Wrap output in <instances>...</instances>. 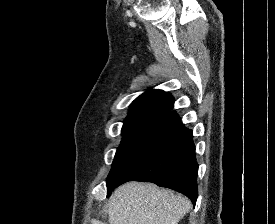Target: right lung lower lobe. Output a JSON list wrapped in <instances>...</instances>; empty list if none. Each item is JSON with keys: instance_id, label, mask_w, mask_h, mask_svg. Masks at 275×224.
I'll list each match as a JSON object with an SVG mask.
<instances>
[{"instance_id": "obj_1", "label": "right lung lower lobe", "mask_w": 275, "mask_h": 224, "mask_svg": "<svg viewBox=\"0 0 275 224\" xmlns=\"http://www.w3.org/2000/svg\"><path fill=\"white\" fill-rule=\"evenodd\" d=\"M197 173L192 131L175 111H169L107 180V192L109 196L115 187L128 181L152 182L186 195L195 205Z\"/></svg>"}]
</instances>
